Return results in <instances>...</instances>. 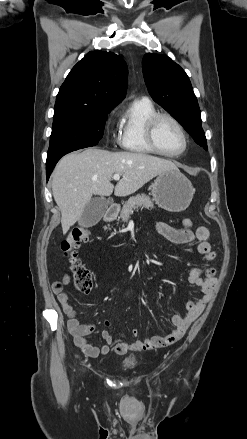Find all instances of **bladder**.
Returning a JSON list of instances; mask_svg holds the SVG:
<instances>
[{
    "instance_id": "31cf9c89",
    "label": "bladder",
    "mask_w": 247,
    "mask_h": 439,
    "mask_svg": "<svg viewBox=\"0 0 247 439\" xmlns=\"http://www.w3.org/2000/svg\"><path fill=\"white\" fill-rule=\"evenodd\" d=\"M138 364V358L135 355H130L121 360V365L124 368H134Z\"/></svg>"
}]
</instances>
